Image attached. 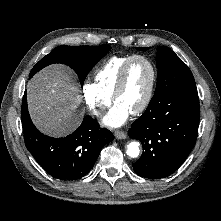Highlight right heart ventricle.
Segmentation results:
<instances>
[{
    "label": "right heart ventricle",
    "instance_id": "right-heart-ventricle-1",
    "mask_svg": "<svg viewBox=\"0 0 221 221\" xmlns=\"http://www.w3.org/2000/svg\"><path fill=\"white\" fill-rule=\"evenodd\" d=\"M132 55L110 57L96 72L94 79L98 89L112 98L123 64Z\"/></svg>",
    "mask_w": 221,
    "mask_h": 221
}]
</instances>
